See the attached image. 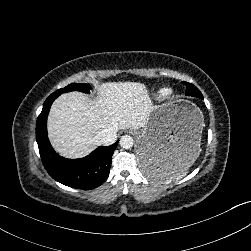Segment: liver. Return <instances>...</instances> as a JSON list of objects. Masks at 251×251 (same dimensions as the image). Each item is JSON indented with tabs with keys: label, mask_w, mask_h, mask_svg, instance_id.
<instances>
[{
	"label": "liver",
	"mask_w": 251,
	"mask_h": 251,
	"mask_svg": "<svg viewBox=\"0 0 251 251\" xmlns=\"http://www.w3.org/2000/svg\"><path fill=\"white\" fill-rule=\"evenodd\" d=\"M152 107L149 87L138 81L100 83L93 99L80 91L63 93L49 110L47 136L59 156L81 159L101 145L100 131L138 129Z\"/></svg>",
	"instance_id": "1"
}]
</instances>
